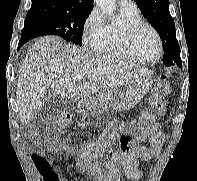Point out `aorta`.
Instances as JSON below:
<instances>
[{"instance_id": "762f6f07", "label": "aorta", "mask_w": 197, "mask_h": 181, "mask_svg": "<svg viewBox=\"0 0 197 181\" xmlns=\"http://www.w3.org/2000/svg\"><path fill=\"white\" fill-rule=\"evenodd\" d=\"M95 3L105 15H112L115 11L116 0H95Z\"/></svg>"}]
</instances>
